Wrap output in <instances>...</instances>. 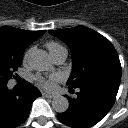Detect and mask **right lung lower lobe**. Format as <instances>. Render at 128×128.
<instances>
[{
	"label": "right lung lower lobe",
	"instance_id": "obj_1",
	"mask_svg": "<svg viewBox=\"0 0 128 128\" xmlns=\"http://www.w3.org/2000/svg\"><path fill=\"white\" fill-rule=\"evenodd\" d=\"M39 96L40 91L29 82H24L20 90H9L7 83L0 84V128H15L23 123Z\"/></svg>",
	"mask_w": 128,
	"mask_h": 128
}]
</instances>
